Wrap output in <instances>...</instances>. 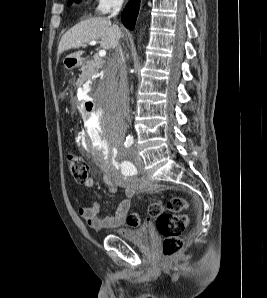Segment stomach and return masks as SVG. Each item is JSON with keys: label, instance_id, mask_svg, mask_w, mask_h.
<instances>
[{"label": "stomach", "instance_id": "stomach-1", "mask_svg": "<svg viewBox=\"0 0 267 298\" xmlns=\"http://www.w3.org/2000/svg\"><path fill=\"white\" fill-rule=\"evenodd\" d=\"M74 61H75L74 66H78L80 64V59H75Z\"/></svg>", "mask_w": 267, "mask_h": 298}]
</instances>
